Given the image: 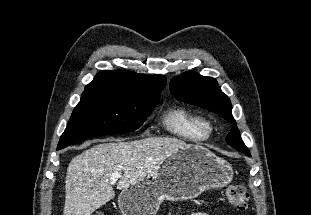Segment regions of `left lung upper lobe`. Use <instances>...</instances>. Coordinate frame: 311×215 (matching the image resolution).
I'll return each instance as SVG.
<instances>
[{
  "label": "left lung upper lobe",
  "instance_id": "5c2ea615",
  "mask_svg": "<svg viewBox=\"0 0 311 215\" xmlns=\"http://www.w3.org/2000/svg\"><path fill=\"white\" fill-rule=\"evenodd\" d=\"M170 91L177 100L214 111L221 114L227 121L235 122L231 114L230 100L212 77H203L194 71H188L171 80ZM226 142L236 150L251 156L241 139L236 124L233 125L231 132L227 135Z\"/></svg>",
  "mask_w": 311,
  "mask_h": 215
}]
</instances>
